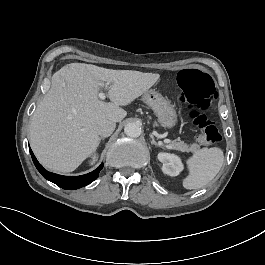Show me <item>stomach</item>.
<instances>
[{"label": "stomach", "mask_w": 265, "mask_h": 265, "mask_svg": "<svg viewBox=\"0 0 265 265\" xmlns=\"http://www.w3.org/2000/svg\"><path fill=\"white\" fill-rule=\"evenodd\" d=\"M142 100L154 111L163 127L171 128L175 126L177 122L176 111L173 105L160 93L154 90H147L143 93Z\"/></svg>", "instance_id": "0dacf381"}]
</instances>
